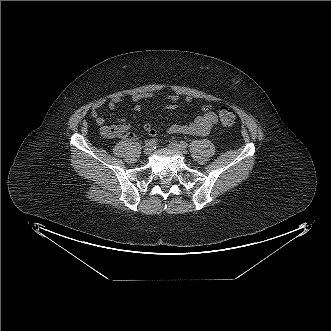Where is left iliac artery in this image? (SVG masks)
I'll return each mask as SVG.
<instances>
[{"mask_svg": "<svg viewBox=\"0 0 331 331\" xmlns=\"http://www.w3.org/2000/svg\"><path fill=\"white\" fill-rule=\"evenodd\" d=\"M180 146H181L182 148H187L188 143L185 142V141H180Z\"/></svg>", "mask_w": 331, "mask_h": 331, "instance_id": "1", "label": "left iliac artery"}]
</instances>
